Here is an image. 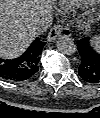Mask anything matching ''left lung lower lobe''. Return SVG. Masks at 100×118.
Segmentation results:
<instances>
[{
    "label": "left lung lower lobe",
    "mask_w": 100,
    "mask_h": 118,
    "mask_svg": "<svg viewBox=\"0 0 100 118\" xmlns=\"http://www.w3.org/2000/svg\"><path fill=\"white\" fill-rule=\"evenodd\" d=\"M77 49L81 56L78 73L88 83H100V53H97L89 45L88 38L77 41Z\"/></svg>",
    "instance_id": "obj_1"
}]
</instances>
